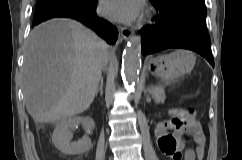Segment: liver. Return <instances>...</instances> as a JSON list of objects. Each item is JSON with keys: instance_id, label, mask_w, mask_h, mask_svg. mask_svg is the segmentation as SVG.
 I'll return each mask as SVG.
<instances>
[{"instance_id": "6515ba94", "label": "liver", "mask_w": 242, "mask_h": 160, "mask_svg": "<svg viewBox=\"0 0 242 160\" xmlns=\"http://www.w3.org/2000/svg\"><path fill=\"white\" fill-rule=\"evenodd\" d=\"M109 46L77 21L54 19L30 33L23 64V92L36 123H57L87 110L101 68L114 59Z\"/></svg>"}]
</instances>
